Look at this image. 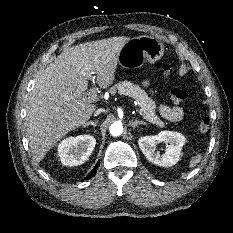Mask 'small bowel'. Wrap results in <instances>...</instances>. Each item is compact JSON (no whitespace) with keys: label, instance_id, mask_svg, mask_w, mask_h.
I'll use <instances>...</instances> for the list:
<instances>
[{"label":"small bowel","instance_id":"c3829d8e","mask_svg":"<svg viewBox=\"0 0 233 233\" xmlns=\"http://www.w3.org/2000/svg\"><path fill=\"white\" fill-rule=\"evenodd\" d=\"M147 83L144 82V85ZM159 112L163 118L169 121H179L183 117V109L180 106H168V105H161L159 107Z\"/></svg>","mask_w":233,"mask_h":233}]
</instances>
